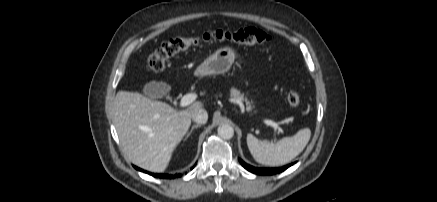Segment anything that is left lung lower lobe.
<instances>
[{
    "instance_id": "1",
    "label": "left lung lower lobe",
    "mask_w": 437,
    "mask_h": 202,
    "mask_svg": "<svg viewBox=\"0 0 437 202\" xmlns=\"http://www.w3.org/2000/svg\"><path fill=\"white\" fill-rule=\"evenodd\" d=\"M239 162L241 163V165L247 169L248 171L257 174V175H273V174H277L280 172H283L284 170H286L288 167H290L292 164L280 167V168H258V167H253L247 163H245L243 160L239 159Z\"/></svg>"
}]
</instances>
